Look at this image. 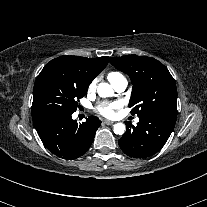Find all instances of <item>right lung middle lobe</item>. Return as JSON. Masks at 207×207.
<instances>
[{
    "label": "right lung middle lobe",
    "mask_w": 207,
    "mask_h": 207,
    "mask_svg": "<svg viewBox=\"0 0 207 207\" xmlns=\"http://www.w3.org/2000/svg\"><path fill=\"white\" fill-rule=\"evenodd\" d=\"M87 88L64 68L48 63L35 81L32 113L45 110L73 113Z\"/></svg>",
    "instance_id": "dd1d6c3e"
}]
</instances>
